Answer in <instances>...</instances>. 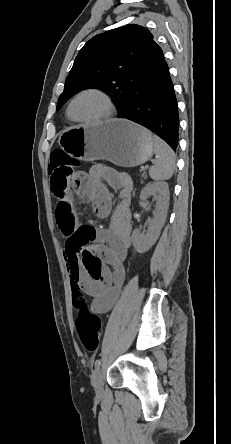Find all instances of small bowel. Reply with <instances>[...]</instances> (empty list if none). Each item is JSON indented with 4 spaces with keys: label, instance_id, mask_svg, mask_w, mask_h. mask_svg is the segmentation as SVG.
<instances>
[{
    "label": "small bowel",
    "instance_id": "obj_1",
    "mask_svg": "<svg viewBox=\"0 0 231 444\" xmlns=\"http://www.w3.org/2000/svg\"><path fill=\"white\" fill-rule=\"evenodd\" d=\"M110 186L120 192V202L111 215L108 228L93 235L78 234L75 197L91 202L95 214L105 218L111 211ZM51 187L58 198L56 223L65 240L64 256L72 287L77 285L92 301L95 314L108 312L116 303L124 283L125 259L131 245L132 182L124 174L103 165L78 174L68 182Z\"/></svg>",
    "mask_w": 231,
    "mask_h": 444
}]
</instances>
